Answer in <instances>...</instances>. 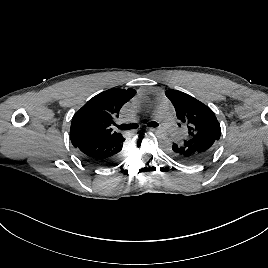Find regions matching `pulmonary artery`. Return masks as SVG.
<instances>
[{"mask_svg": "<svg viewBox=\"0 0 268 268\" xmlns=\"http://www.w3.org/2000/svg\"><path fill=\"white\" fill-rule=\"evenodd\" d=\"M152 115L161 121L167 131L172 133L178 130L177 126L175 125L174 117L170 110L167 98L161 97L156 100L152 108Z\"/></svg>", "mask_w": 268, "mask_h": 268, "instance_id": "obj_1", "label": "pulmonary artery"}]
</instances>
